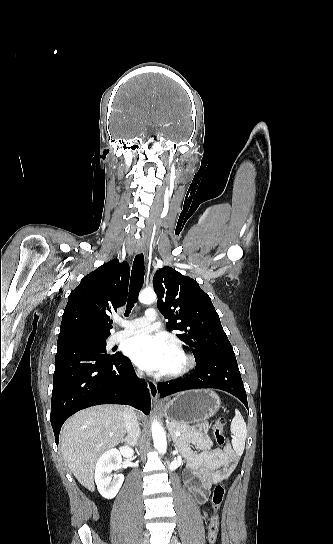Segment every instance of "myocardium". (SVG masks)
<instances>
[{"mask_svg":"<svg viewBox=\"0 0 333 544\" xmlns=\"http://www.w3.org/2000/svg\"><path fill=\"white\" fill-rule=\"evenodd\" d=\"M171 346L176 354L180 357L181 365L172 371L162 372L161 377L167 380L178 379L187 375L196 365L194 356L191 355L181 344L174 342L171 344Z\"/></svg>","mask_w":333,"mask_h":544,"instance_id":"1","label":"myocardium"}]
</instances>
